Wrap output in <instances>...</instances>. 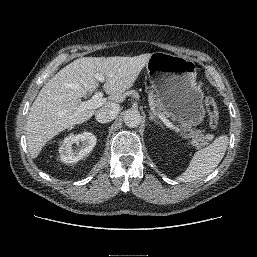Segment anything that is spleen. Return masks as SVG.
Returning a JSON list of instances; mask_svg holds the SVG:
<instances>
[{"label": "spleen", "instance_id": "spleen-1", "mask_svg": "<svg viewBox=\"0 0 257 257\" xmlns=\"http://www.w3.org/2000/svg\"><path fill=\"white\" fill-rule=\"evenodd\" d=\"M228 141L227 135H221L209 146L195 152L189 166L177 177V181L191 182L212 172L223 159Z\"/></svg>", "mask_w": 257, "mask_h": 257}]
</instances>
